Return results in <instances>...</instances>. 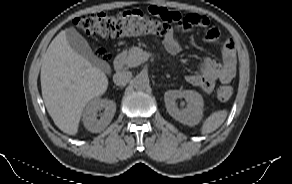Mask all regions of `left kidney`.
I'll list each match as a JSON object with an SVG mask.
<instances>
[{
	"label": "left kidney",
	"instance_id": "1",
	"mask_svg": "<svg viewBox=\"0 0 292 184\" xmlns=\"http://www.w3.org/2000/svg\"><path fill=\"white\" fill-rule=\"evenodd\" d=\"M178 98H185L187 107L179 110L176 105ZM165 106L168 113L177 121L188 125H197L203 115L204 101L202 96L193 90H168L164 94Z\"/></svg>",
	"mask_w": 292,
	"mask_h": 184
}]
</instances>
